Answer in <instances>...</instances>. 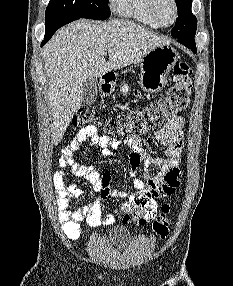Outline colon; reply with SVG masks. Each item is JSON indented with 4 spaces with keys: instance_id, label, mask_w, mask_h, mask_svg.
Instances as JSON below:
<instances>
[{
    "instance_id": "1",
    "label": "colon",
    "mask_w": 233,
    "mask_h": 286,
    "mask_svg": "<svg viewBox=\"0 0 233 286\" xmlns=\"http://www.w3.org/2000/svg\"><path fill=\"white\" fill-rule=\"evenodd\" d=\"M191 74L192 69L188 63L178 62L174 66L173 85L168 89L166 95L149 104L145 109L131 112L128 115L112 117L102 122L96 112L87 107H81L73 118L72 125L74 128H79L103 124L107 136L113 140L139 136L187 107L192 88ZM150 203V198L146 196L130 200V218L134 221H140ZM170 216V206L164 204L152 223L154 233L162 239L169 233Z\"/></svg>"
}]
</instances>
